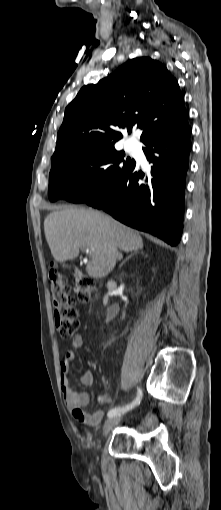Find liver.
Masks as SVG:
<instances>
[{
    "label": "liver",
    "mask_w": 221,
    "mask_h": 510,
    "mask_svg": "<svg viewBox=\"0 0 221 510\" xmlns=\"http://www.w3.org/2000/svg\"><path fill=\"white\" fill-rule=\"evenodd\" d=\"M44 231L57 262L73 260L80 250L89 249L91 260L86 271L98 279L114 269V249L132 252L143 248V239L136 231L92 209L68 207L53 211L44 221Z\"/></svg>",
    "instance_id": "1"
}]
</instances>
